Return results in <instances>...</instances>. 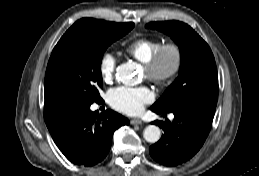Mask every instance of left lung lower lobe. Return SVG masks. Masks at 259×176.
Listing matches in <instances>:
<instances>
[{
    "mask_svg": "<svg viewBox=\"0 0 259 176\" xmlns=\"http://www.w3.org/2000/svg\"><path fill=\"white\" fill-rule=\"evenodd\" d=\"M157 114L165 112L151 107ZM174 120L154 121L164 134L161 139L149 149L151 157L166 166H175L192 158L205 142L214 117L215 111L199 106H184L171 111Z\"/></svg>",
    "mask_w": 259,
    "mask_h": 176,
    "instance_id": "1",
    "label": "left lung lower lobe"
}]
</instances>
